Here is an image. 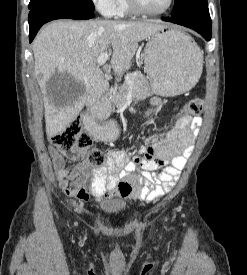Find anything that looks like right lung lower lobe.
<instances>
[{
    "label": "right lung lower lobe",
    "instance_id": "right-lung-lower-lobe-1",
    "mask_svg": "<svg viewBox=\"0 0 247 275\" xmlns=\"http://www.w3.org/2000/svg\"><path fill=\"white\" fill-rule=\"evenodd\" d=\"M95 15L92 11L78 10L61 6H45L33 9L29 12V40L32 42L40 27L55 19H76L86 20L93 18Z\"/></svg>",
    "mask_w": 247,
    "mask_h": 275
}]
</instances>
